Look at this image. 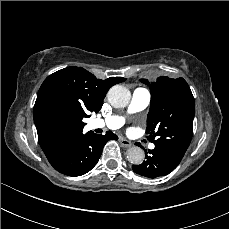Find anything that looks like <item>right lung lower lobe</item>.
Segmentation results:
<instances>
[{
    "label": "right lung lower lobe",
    "mask_w": 229,
    "mask_h": 229,
    "mask_svg": "<svg viewBox=\"0 0 229 229\" xmlns=\"http://www.w3.org/2000/svg\"><path fill=\"white\" fill-rule=\"evenodd\" d=\"M110 139L117 140L118 137L110 131L105 135L81 133L65 143L49 162L62 174L83 175L96 165L105 143Z\"/></svg>",
    "instance_id": "obj_1"
}]
</instances>
